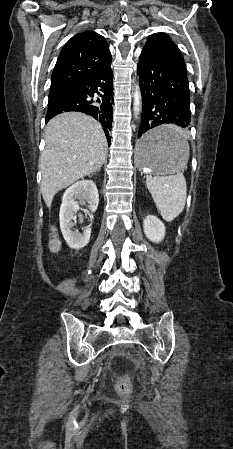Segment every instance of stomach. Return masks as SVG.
<instances>
[{
	"mask_svg": "<svg viewBox=\"0 0 233 449\" xmlns=\"http://www.w3.org/2000/svg\"><path fill=\"white\" fill-rule=\"evenodd\" d=\"M188 153L186 139L175 128H149L136 145L135 163L144 171L172 173L186 163Z\"/></svg>",
	"mask_w": 233,
	"mask_h": 449,
	"instance_id": "obj_1",
	"label": "stomach"
}]
</instances>
